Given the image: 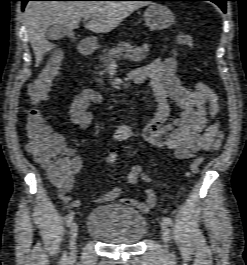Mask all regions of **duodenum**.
I'll use <instances>...</instances> for the list:
<instances>
[{
	"mask_svg": "<svg viewBox=\"0 0 247 265\" xmlns=\"http://www.w3.org/2000/svg\"><path fill=\"white\" fill-rule=\"evenodd\" d=\"M95 51H96L95 43L90 39H84L79 45V52L84 57H87V56L93 54ZM130 78L135 83H141L142 82V81H136L132 75H130Z\"/></svg>",
	"mask_w": 247,
	"mask_h": 265,
	"instance_id": "duodenum-1",
	"label": "duodenum"
}]
</instances>
